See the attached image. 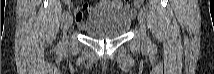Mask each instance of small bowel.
I'll use <instances>...</instances> for the list:
<instances>
[{"mask_svg": "<svg viewBox=\"0 0 214 74\" xmlns=\"http://www.w3.org/2000/svg\"><path fill=\"white\" fill-rule=\"evenodd\" d=\"M122 6L130 16L135 15V9L131 8L129 5H122L120 1H100L96 7H92L87 3H83L81 6L77 7L74 10V17L78 27L82 30L85 24L84 22V12H88L89 14L95 13L99 10H103L109 7H119Z\"/></svg>", "mask_w": 214, "mask_h": 74, "instance_id": "c3829d8e", "label": "small bowel"}]
</instances>
